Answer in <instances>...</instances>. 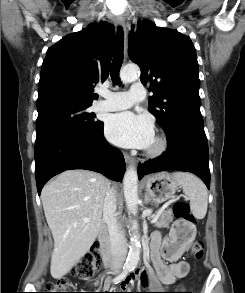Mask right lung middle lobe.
<instances>
[{"label":"right lung middle lobe","instance_id":"right-lung-middle-lobe-1","mask_svg":"<svg viewBox=\"0 0 245 293\" xmlns=\"http://www.w3.org/2000/svg\"><path fill=\"white\" fill-rule=\"evenodd\" d=\"M90 106L59 103L37 108L35 149L56 136L87 132L98 127L101 122L86 111Z\"/></svg>","mask_w":245,"mask_h":293}]
</instances>
